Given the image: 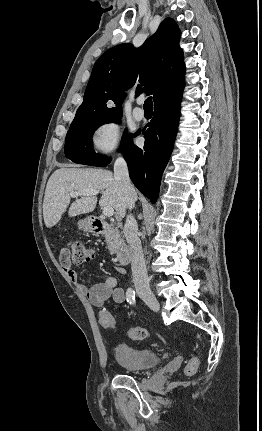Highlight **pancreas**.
<instances>
[{"instance_id":"obj_1","label":"pancreas","mask_w":262,"mask_h":431,"mask_svg":"<svg viewBox=\"0 0 262 431\" xmlns=\"http://www.w3.org/2000/svg\"><path fill=\"white\" fill-rule=\"evenodd\" d=\"M108 250L111 254L118 253L120 248L123 246V239L121 238L120 232L117 228H111L105 234Z\"/></svg>"}]
</instances>
